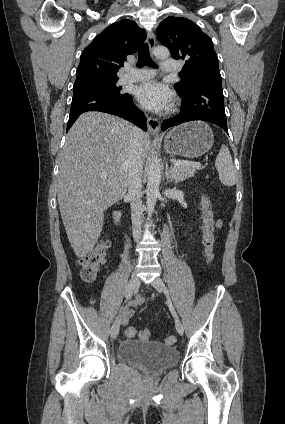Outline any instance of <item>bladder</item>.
<instances>
[{"label":"bladder","instance_id":"bladder-1","mask_svg":"<svg viewBox=\"0 0 285 424\" xmlns=\"http://www.w3.org/2000/svg\"><path fill=\"white\" fill-rule=\"evenodd\" d=\"M118 356L129 365L151 373L172 367L179 358L178 352L159 341L124 340L119 344Z\"/></svg>","mask_w":285,"mask_h":424}]
</instances>
